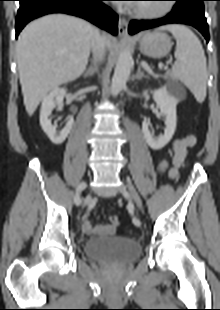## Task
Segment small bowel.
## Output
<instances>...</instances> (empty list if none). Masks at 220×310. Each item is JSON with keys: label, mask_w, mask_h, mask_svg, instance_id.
Masks as SVG:
<instances>
[{"label": "small bowel", "mask_w": 220, "mask_h": 310, "mask_svg": "<svg viewBox=\"0 0 220 310\" xmlns=\"http://www.w3.org/2000/svg\"><path fill=\"white\" fill-rule=\"evenodd\" d=\"M196 138L193 135H187L177 139L172 144L173 165L170 167L166 160L159 159L157 169L160 174L166 175L170 179H176L179 175V169L188 155L189 150L195 146ZM82 230L86 234L96 233L103 236L112 235L115 231L111 225L94 226L91 221L84 217L81 221Z\"/></svg>", "instance_id": "small-bowel-1"}]
</instances>
